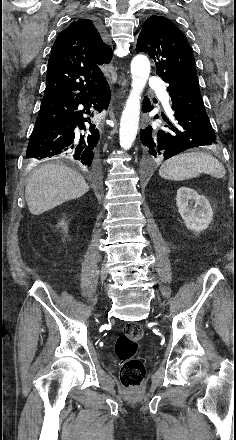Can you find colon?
I'll use <instances>...</instances> for the list:
<instances>
[{"mask_svg": "<svg viewBox=\"0 0 236 440\" xmlns=\"http://www.w3.org/2000/svg\"><path fill=\"white\" fill-rule=\"evenodd\" d=\"M142 327L134 322L127 323L119 334L115 352L122 361L120 379L124 388L133 390L144 381L146 370L143 362L136 358L138 343L143 338Z\"/></svg>", "mask_w": 236, "mask_h": 440, "instance_id": "1", "label": "colon"}]
</instances>
